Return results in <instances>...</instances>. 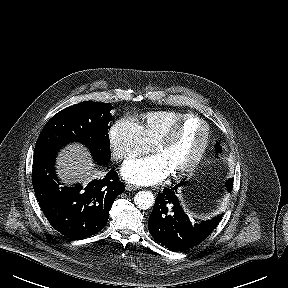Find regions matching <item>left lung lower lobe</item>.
<instances>
[{
    "mask_svg": "<svg viewBox=\"0 0 288 288\" xmlns=\"http://www.w3.org/2000/svg\"><path fill=\"white\" fill-rule=\"evenodd\" d=\"M183 183L184 181L158 194L148 222L152 237L174 251L200 244L216 228L223 216L221 214L211 220L192 224L177 197V188ZM227 190L231 192L232 189L227 188Z\"/></svg>",
    "mask_w": 288,
    "mask_h": 288,
    "instance_id": "obj_1",
    "label": "left lung lower lobe"
}]
</instances>
